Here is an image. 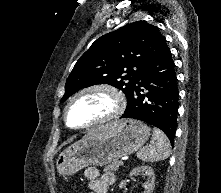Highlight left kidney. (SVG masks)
Listing matches in <instances>:
<instances>
[{
	"label": "left kidney",
	"mask_w": 221,
	"mask_h": 193,
	"mask_svg": "<svg viewBox=\"0 0 221 193\" xmlns=\"http://www.w3.org/2000/svg\"><path fill=\"white\" fill-rule=\"evenodd\" d=\"M145 173V175L147 176V181L145 182L144 184V192L143 193H152L153 189H154V182H155V175H154V171L152 169V167L150 166H138L136 168H134L129 176L132 177L138 173ZM119 187L122 189V188H125L126 187V181H122L120 184H119Z\"/></svg>",
	"instance_id": "5707ae66"
}]
</instances>
